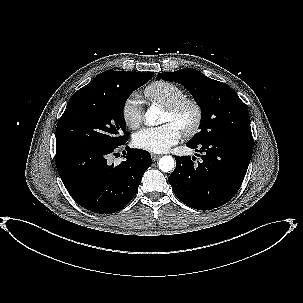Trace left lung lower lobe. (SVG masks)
<instances>
[{
	"label": "left lung lower lobe",
	"mask_w": 303,
	"mask_h": 303,
	"mask_svg": "<svg viewBox=\"0 0 303 303\" xmlns=\"http://www.w3.org/2000/svg\"><path fill=\"white\" fill-rule=\"evenodd\" d=\"M200 152L195 157L176 156V168L168 181L175 195L186 205L210 210L227 203L239 190L253 152V138L230 136L201 144L187 143ZM199 156V155H198Z\"/></svg>",
	"instance_id": "1"
}]
</instances>
